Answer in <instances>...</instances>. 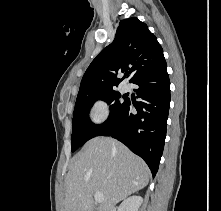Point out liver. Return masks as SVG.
<instances>
[{
	"label": "liver",
	"instance_id": "1",
	"mask_svg": "<svg viewBox=\"0 0 221 211\" xmlns=\"http://www.w3.org/2000/svg\"><path fill=\"white\" fill-rule=\"evenodd\" d=\"M150 175L146 163L122 143L93 138L68 171L64 211H93L95 192L104 196L98 211H114L118 202L147 186Z\"/></svg>",
	"mask_w": 221,
	"mask_h": 211
}]
</instances>
